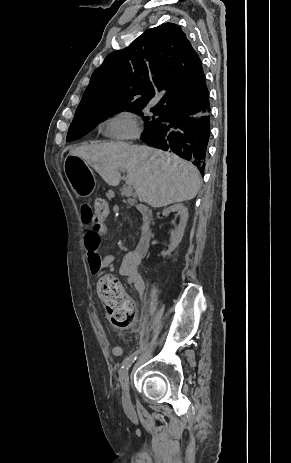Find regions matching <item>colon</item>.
Wrapping results in <instances>:
<instances>
[{
  "label": "colon",
  "mask_w": 291,
  "mask_h": 463,
  "mask_svg": "<svg viewBox=\"0 0 291 463\" xmlns=\"http://www.w3.org/2000/svg\"><path fill=\"white\" fill-rule=\"evenodd\" d=\"M81 214L84 224L91 226L96 217H108L109 210L105 201L97 198L84 203L81 207ZM97 291L106 307L109 319L115 326L127 328L134 322L136 314L134 302L125 294L116 276H102L98 280Z\"/></svg>",
  "instance_id": "1"
}]
</instances>
